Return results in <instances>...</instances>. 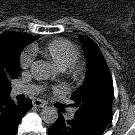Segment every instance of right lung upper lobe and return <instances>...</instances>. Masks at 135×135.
Segmentation results:
<instances>
[{"label":"right lung upper lobe","mask_w":135,"mask_h":135,"mask_svg":"<svg viewBox=\"0 0 135 135\" xmlns=\"http://www.w3.org/2000/svg\"><path fill=\"white\" fill-rule=\"evenodd\" d=\"M38 38L11 31L0 35V80L4 78L11 79L16 75L21 53V51L19 52L20 45L25 47ZM5 94L8 93L0 92V96Z\"/></svg>","instance_id":"cb5924a9"}]
</instances>
